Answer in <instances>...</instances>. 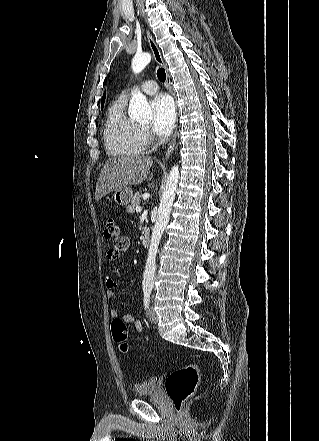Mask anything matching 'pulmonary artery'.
Masks as SVG:
<instances>
[{"mask_svg": "<svg viewBox=\"0 0 319 441\" xmlns=\"http://www.w3.org/2000/svg\"><path fill=\"white\" fill-rule=\"evenodd\" d=\"M140 90L145 94L152 95L157 92L158 85L155 81L148 80V81H145L141 84ZM126 95H127V93H123V96H126Z\"/></svg>", "mask_w": 319, "mask_h": 441, "instance_id": "obj_1", "label": "pulmonary artery"}]
</instances>
